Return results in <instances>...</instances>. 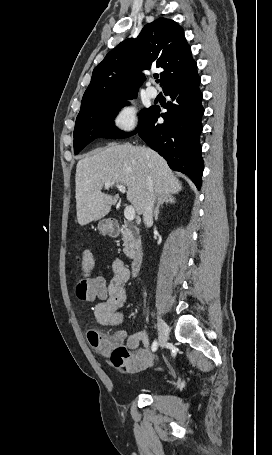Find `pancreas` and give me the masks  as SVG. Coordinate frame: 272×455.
<instances>
[{
    "mask_svg": "<svg viewBox=\"0 0 272 455\" xmlns=\"http://www.w3.org/2000/svg\"><path fill=\"white\" fill-rule=\"evenodd\" d=\"M122 241L124 242V254L131 259L135 258L136 254L141 249V240L137 235V230L128 228L126 224L122 233Z\"/></svg>",
    "mask_w": 272,
    "mask_h": 455,
    "instance_id": "pancreas-1",
    "label": "pancreas"
}]
</instances>
